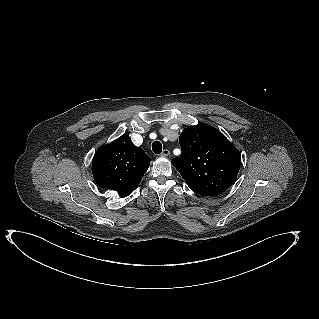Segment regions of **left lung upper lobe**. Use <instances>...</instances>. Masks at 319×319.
I'll return each instance as SVG.
<instances>
[{
    "label": "left lung upper lobe",
    "instance_id": "obj_1",
    "mask_svg": "<svg viewBox=\"0 0 319 319\" xmlns=\"http://www.w3.org/2000/svg\"><path fill=\"white\" fill-rule=\"evenodd\" d=\"M179 143L181 156L171 162L195 193L216 196L233 184L241 155L220 131L206 124L189 126Z\"/></svg>",
    "mask_w": 319,
    "mask_h": 319
}]
</instances>
